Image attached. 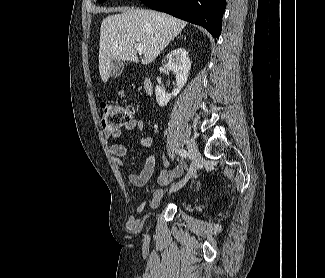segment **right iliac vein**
<instances>
[{
  "instance_id": "1",
  "label": "right iliac vein",
  "mask_w": 325,
  "mask_h": 278,
  "mask_svg": "<svg viewBox=\"0 0 325 278\" xmlns=\"http://www.w3.org/2000/svg\"><path fill=\"white\" fill-rule=\"evenodd\" d=\"M187 149H188L191 159H192L191 169H190L189 173L187 174V176L185 177V179L180 181L178 184L172 186V188L170 189V192H175V191L179 190L180 188H182L189 181V179L193 177V175L197 169L199 159H200V152H199V149H198L194 140L191 139L187 142Z\"/></svg>"
}]
</instances>
